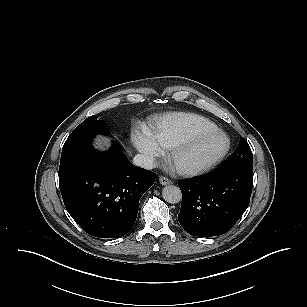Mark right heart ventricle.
Listing matches in <instances>:
<instances>
[{
    "mask_svg": "<svg viewBox=\"0 0 307 307\" xmlns=\"http://www.w3.org/2000/svg\"><path fill=\"white\" fill-rule=\"evenodd\" d=\"M214 129L217 125L203 116L172 112L151 123L146 132L162 148L169 149L192 135Z\"/></svg>",
    "mask_w": 307,
    "mask_h": 307,
    "instance_id": "e07e8e85",
    "label": "right heart ventricle"
}]
</instances>
